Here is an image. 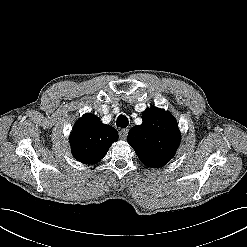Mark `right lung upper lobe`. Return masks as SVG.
Masks as SVG:
<instances>
[{
	"label": "right lung upper lobe",
	"mask_w": 247,
	"mask_h": 247,
	"mask_svg": "<svg viewBox=\"0 0 247 247\" xmlns=\"http://www.w3.org/2000/svg\"><path fill=\"white\" fill-rule=\"evenodd\" d=\"M117 140L116 129L101 123L100 118L93 114H85L74 125L70 146L75 159L84 164H94L106 155L111 144Z\"/></svg>",
	"instance_id": "right-lung-upper-lobe-1"
}]
</instances>
